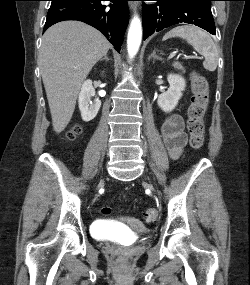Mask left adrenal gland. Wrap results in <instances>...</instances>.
Wrapping results in <instances>:
<instances>
[{
  "label": "left adrenal gland",
  "instance_id": "1",
  "mask_svg": "<svg viewBox=\"0 0 250 285\" xmlns=\"http://www.w3.org/2000/svg\"><path fill=\"white\" fill-rule=\"evenodd\" d=\"M153 58V59H158V60H162V58L156 54V51L154 50L151 55L149 56V60Z\"/></svg>",
  "mask_w": 250,
  "mask_h": 285
}]
</instances>
